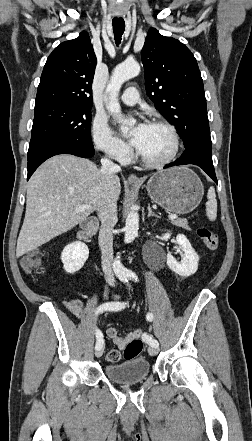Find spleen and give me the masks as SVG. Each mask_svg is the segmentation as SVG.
Segmentation results:
<instances>
[{
    "mask_svg": "<svg viewBox=\"0 0 252 441\" xmlns=\"http://www.w3.org/2000/svg\"><path fill=\"white\" fill-rule=\"evenodd\" d=\"M206 215L210 221H215L217 217V200L215 189L210 187L207 193Z\"/></svg>",
    "mask_w": 252,
    "mask_h": 441,
    "instance_id": "1",
    "label": "spleen"
}]
</instances>
